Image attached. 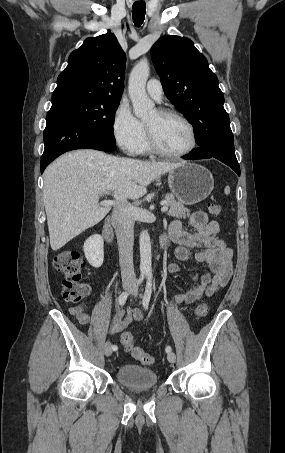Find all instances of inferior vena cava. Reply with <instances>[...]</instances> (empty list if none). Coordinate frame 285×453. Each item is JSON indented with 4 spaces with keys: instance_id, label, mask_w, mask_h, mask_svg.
Returning <instances> with one entry per match:
<instances>
[{
    "instance_id": "1",
    "label": "inferior vena cava",
    "mask_w": 285,
    "mask_h": 453,
    "mask_svg": "<svg viewBox=\"0 0 285 453\" xmlns=\"http://www.w3.org/2000/svg\"><path fill=\"white\" fill-rule=\"evenodd\" d=\"M112 223L117 237L122 281L134 284L136 282L133 265L134 216L133 207L127 200L115 205Z\"/></svg>"
}]
</instances>
